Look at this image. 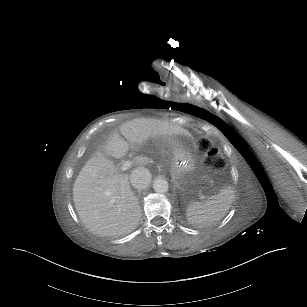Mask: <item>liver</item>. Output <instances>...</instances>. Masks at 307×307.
Returning <instances> with one entry per match:
<instances>
[{"mask_svg": "<svg viewBox=\"0 0 307 307\" xmlns=\"http://www.w3.org/2000/svg\"><path fill=\"white\" fill-rule=\"evenodd\" d=\"M126 139H124L122 136ZM185 135L188 130L169 121L137 118L123 123L106 143L107 152L119 159L129 148L143 145L150 138ZM143 165L145 158H137ZM73 201L83 224L100 236H118L136 229L141 218L137 197L131 190L128 174H119L112 161L101 154L90 158L73 185Z\"/></svg>", "mask_w": 307, "mask_h": 307, "instance_id": "liver-1", "label": "liver"}]
</instances>
